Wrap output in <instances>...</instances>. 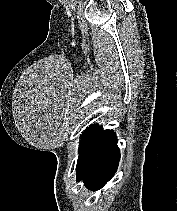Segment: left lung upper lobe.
<instances>
[{
    "instance_id": "obj_1",
    "label": "left lung upper lobe",
    "mask_w": 178,
    "mask_h": 211,
    "mask_svg": "<svg viewBox=\"0 0 178 211\" xmlns=\"http://www.w3.org/2000/svg\"><path fill=\"white\" fill-rule=\"evenodd\" d=\"M92 127H93V126L87 128V129L84 131V133H83L82 136H81V141L86 137V135L89 133V131L92 129ZM81 141H80V142H81Z\"/></svg>"
}]
</instances>
